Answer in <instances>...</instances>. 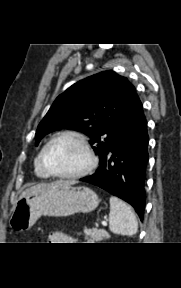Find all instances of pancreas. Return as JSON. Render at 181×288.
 <instances>
[{
    "label": "pancreas",
    "instance_id": "1",
    "mask_svg": "<svg viewBox=\"0 0 181 288\" xmlns=\"http://www.w3.org/2000/svg\"><path fill=\"white\" fill-rule=\"evenodd\" d=\"M85 239L94 243V241H101L109 237V233L104 229H84Z\"/></svg>",
    "mask_w": 181,
    "mask_h": 288
}]
</instances>
